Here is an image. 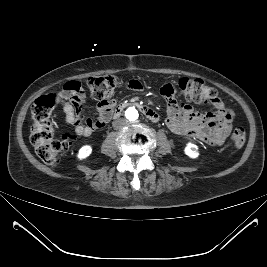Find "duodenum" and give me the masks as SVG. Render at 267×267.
<instances>
[{
  "label": "duodenum",
  "mask_w": 267,
  "mask_h": 267,
  "mask_svg": "<svg viewBox=\"0 0 267 267\" xmlns=\"http://www.w3.org/2000/svg\"><path fill=\"white\" fill-rule=\"evenodd\" d=\"M130 105H135L140 108V110L143 112V114L149 118L151 121H158L159 120V115L157 112H155L151 107L148 105L140 104L138 102H124L116 106L110 113V118L116 119L118 118L123 110Z\"/></svg>",
  "instance_id": "obj_1"
}]
</instances>
